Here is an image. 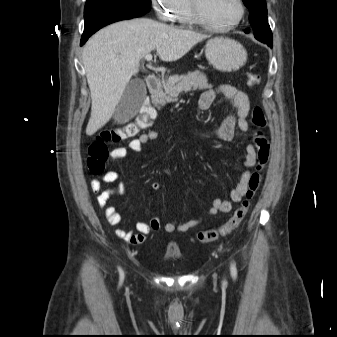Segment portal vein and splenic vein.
<instances>
[{
  "mask_svg": "<svg viewBox=\"0 0 337 337\" xmlns=\"http://www.w3.org/2000/svg\"><path fill=\"white\" fill-rule=\"evenodd\" d=\"M145 60H146V61L152 60V55H151V54H147V55L145 56Z\"/></svg>",
  "mask_w": 337,
  "mask_h": 337,
  "instance_id": "18ae733b",
  "label": "portal vein and splenic vein"
}]
</instances>
